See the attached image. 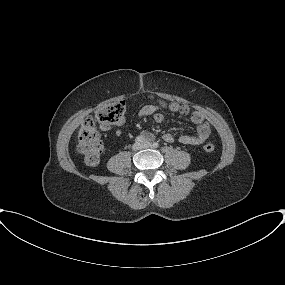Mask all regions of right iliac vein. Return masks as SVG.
<instances>
[{"instance_id":"63e3f726","label":"right iliac vein","mask_w":285,"mask_h":285,"mask_svg":"<svg viewBox=\"0 0 285 285\" xmlns=\"http://www.w3.org/2000/svg\"><path fill=\"white\" fill-rule=\"evenodd\" d=\"M141 148H142V146H141L140 143H136V144L133 145V150H134V151H138V150H140Z\"/></svg>"}]
</instances>
